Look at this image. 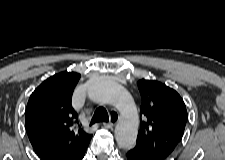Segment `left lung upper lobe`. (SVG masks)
<instances>
[{
  "mask_svg": "<svg viewBox=\"0 0 225 160\" xmlns=\"http://www.w3.org/2000/svg\"><path fill=\"white\" fill-rule=\"evenodd\" d=\"M140 130L134 149L154 160L168 158L184 134L187 111L180 95L168 86L142 79Z\"/></svg>",
  "mask_w": 225,
  "mask_h": 160,
  "instance_id": "5c2ea615",
  "label": "left lung upper lobe"
}]
</instances>
